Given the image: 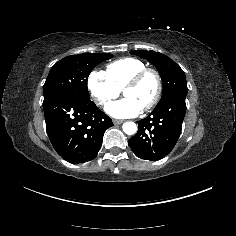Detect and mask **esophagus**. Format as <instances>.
Masks as SVG:
<instances>
[{"label": "esophagus", "instance_id": "34e87169", "mask_svg": "<svg viewBox=\"0 0 236 236\" xmlns=\"http://www.w3.org/2000/svg\"><path fill=\"white\" fill-rule=\"evenodd\" d=\"M123 122H124L123 120H117V119H114V120H113V123H114L115 125L122 124Z\"/></svg>", "mask_w": 236, "mask_h": 236}]
</instances>
